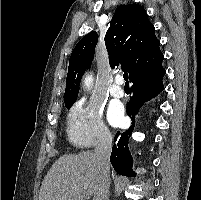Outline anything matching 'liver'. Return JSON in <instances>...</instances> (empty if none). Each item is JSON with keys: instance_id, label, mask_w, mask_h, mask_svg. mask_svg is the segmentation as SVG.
Here are the masks:
<instances>
[{"instance_id": "1", "label": "liver", "mask_w": 201, "mask_h": 200, "mask_svg": "<svg viewBox=\"0 0 201 200\" xmlns=\"http://www.w3.org/2000/svg\"><path fill=\"white\" fill-rule=\"evenodd\" d=\"M101 178L94 152L63 155L44 177L39 200H84L85 191L96 200Z\"/></svg>"}]
</instances>
